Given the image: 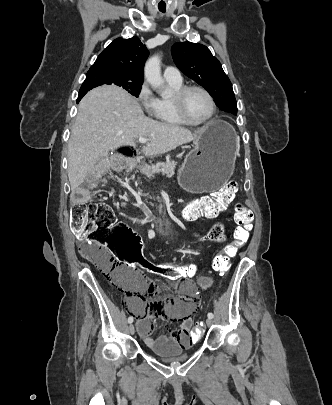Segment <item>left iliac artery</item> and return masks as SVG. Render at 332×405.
<instances>
[{"label": "left iliac artery", "instance_id": "44dca946", "mask_svg": "<svg viewBox=\"0 0 332 405\" xmlns=\"http://www.w3.org/2000/svg\"><path fill=\"white\" fill-rule=\"evenodd\" d=\"M207 316H208V318H210V319H212V318L214 317V315H213L212 312H209V313L207 314Z\"/></svg>", "mask_w": 332, "mask_h": 405}]
</instances>
